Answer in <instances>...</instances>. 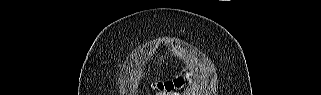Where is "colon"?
<instances>
[{"mask_svg": "<svg viewBox=\"0 0 321 95\" xmlns=\"http://www.w3.org/2000/svg\"><path fill=\"white\" fill-rule=\"evenodd\" d=\"M182 84H184V77L179 76V77L175 78L174 80H169L164 83H159L158 88L161 90H163V89L171 90L174 87H178Z\"/></svg>", "mask_w": 321, "mask_h": 95, "instance_id": "5ec220e1", "label": "colon"}]
</instances>
